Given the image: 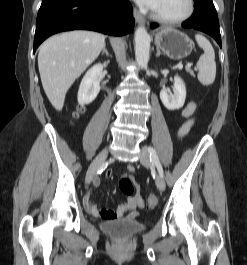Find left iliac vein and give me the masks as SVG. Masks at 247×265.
Returning a JSON list of instances; mask_svg holds the SVG:
<instances>
[{"instance_id": "4c4485c4", "label": "left iliac vein", "mask_w": 247, "mask_h": 265, "mask_svg": "<svg viewBox=\"0 0 247 265\" xmlns=\"http://www.w3.org/2000/svg\"><path fill=\"white\" fill-rule=\"evenodd\" d=\"M140 162L145 167H149L151 165L150 158H149V154H148V152L145 149H142L141 150V153H140ZM156 185H157V188L160 191H164L165 190V181H164V179L161 176H158L157 177V179H156Z\"/></svg>"}]
</instances>
